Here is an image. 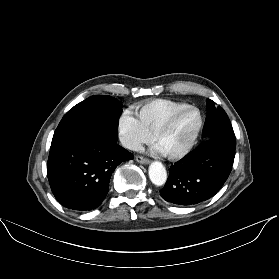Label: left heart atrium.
<instances>
[{"instance_id":"obj_1","label":"left heart atrium","mask_w":279,"mask_h":279,"mask_svg":"<svg viewBox=\"0 0 279 279\" xmlns=\"http://www.w3.org/2000/svg\"><path fill=\"white\" fill-rule=\"evenodd\" d=\"M157 150L159 151V152H161V153H164L163 151H162V149L158 146L157 147Z\"/></svg>"}]
</instances>
